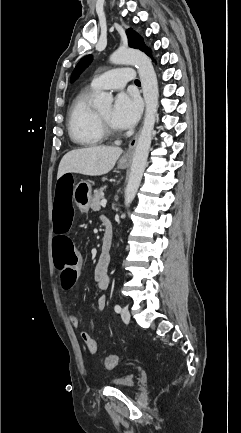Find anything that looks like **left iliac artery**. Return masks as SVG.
Returning <instances> with one entry per match:
<instances>
[{
    "label": "left iliac artery",
    "instance_id": "obj_1",
    "mask_svg": "<svg viewBox=\"0 0 241 433\" xmlns=\"http://www.w3.org/2000/svg\"><path fill=\"white\" fill-rule=\"evenodd\" d=\"M114 310H115V312L120 313V311H121L120 305H118V304L115 305Z\"/></svg>",
    "mask_w": 241,
    "mask_h": 433
}]
</instances>
